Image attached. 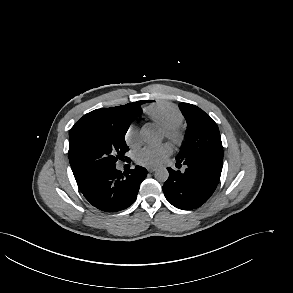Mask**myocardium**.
I'll return each instance as SVG.
<instances>
[{
    "instance_id": "obj_1",
    "label": "myocardium",
    "mask_w": 293,
    "mask_h": 293,
    "mask_svg": "<svg viewBox=\"0 0 293 293\" xmlns=\"http://www.w3.org/2000/svg\"><path fill=\"white\" fill-rule=\"evenodd\" d=\"M164 134L169 141L177 146L181 145L185 139L184 132L179 126L170 129H164Z\"/></svg>"
}]
</instances>
